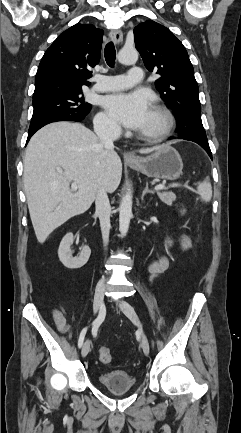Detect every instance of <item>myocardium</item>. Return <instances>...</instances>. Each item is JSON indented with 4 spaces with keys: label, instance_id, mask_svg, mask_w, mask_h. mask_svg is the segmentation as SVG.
<instances>
[{
    "label": "myocardium",
    "instance_id": "myocardium-1",
    "mask_svg": "<svg viewBox=\"0 0 241 433\" xmlns=\"http://www.w3.org/2000/svg\"><path fill=\"white\" fill-rule=\"evenodd\" d=\"M152 110L163 119V127L158 131H140L139 136L150 142H159L167 138L174 127V116L172 112L162 104H154Z\"/></svg>",
    "mask_w": 241,
    "mask_h": 433
}]
</instances>
